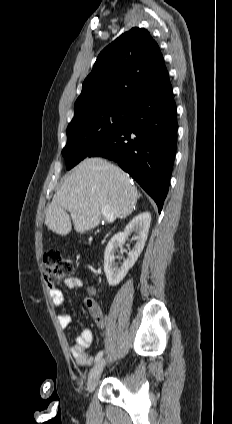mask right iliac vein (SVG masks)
Here are the masks:
<instances>
[{"mask_svg":"<svg viewBox=\"0 0 232 424\" xmlns=\"http://www.w3.org/2000/svg\"><path fill=\"white\" fill-rule=\"evenodd\" d=\"M105 365V360L101 359L91 370L87 382V391L88 393H92L99 381L101 373L103 371Z\"/></svg>","mask_w":232,"mask_h":424,"instance_id":"obj_1","label":"right iliac vein"}]
</instances>
